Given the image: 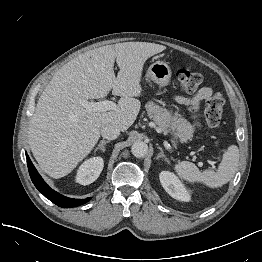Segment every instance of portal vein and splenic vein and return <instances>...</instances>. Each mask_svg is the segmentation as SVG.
I'll use <instances>...</instances> for the list:
<instances>
[{"label": "portal vein and splenic vein", "mask_w": 262, "mask_h": 262, "mask_svg": "<svg viewBox=\"0 0 262 262\" xmlns=\"http://www.w3.org/2000/svg\"><path fill=\"white\" fill-rule=\"evenodd\" d=\"M81 104L88 111L106 112L116 109V104L109 100L101 102H88L87 100H82Z\"/></svg>", "instance_id": "1"}]
</instances>
